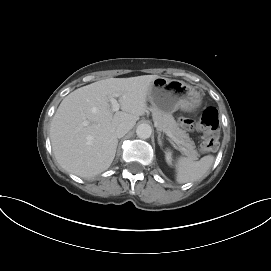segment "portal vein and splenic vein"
<instances>
[{
    "label": "portal vein and splenic vein",
    "mask_w": 271,
    "mask_h": 271,
    "mask_svg": "<svg viewBox=\"0 0 271 271\" xmlns=\"http://www.w3.org/2000/svg\"><path fill=\"white\" fill-rule=\"evenodd\" d=\"M110 103H111V108H112V111L113 112H117L119 111V108H120V104L118 103V101L114 98V97H111L109 99ZM167 136H169L176 144H179L180 142L169 132L166 133Z\"/></svg>",
    "instance_id": "portal-vein-and-splenic-vein-1"
}]
</instances>
